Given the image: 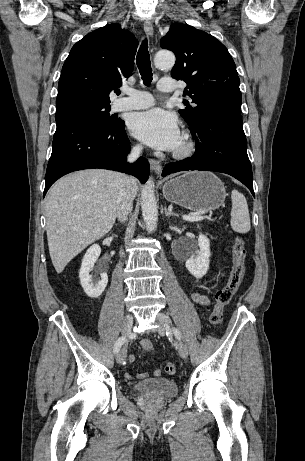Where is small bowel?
Segmentation results:
<instances>
[{
    "label": "small bowel",
    "mask_w": 305,
    "mask_h": 461,
    "mask_svg": "<svg viewBox=\"0 0 305 461\" xmlns=\"http://www.w3.org/2000/svg\"><path fill=\"white\" fill-rule=\"evenodd\" d=\"M191 298L194 302L200 304V305H208L210 303V299L208 296H206L205 294H202L200 292H192L191 293ZM141 347L143 348V350L147 353H149L152 357L155 356V350L153 348V345H152V342L149 340V339H143L141 341ZM135 356L134 355H129V362H134L135 361ZM160 375V370L159 369H155L153 371V376L157 377ZM125 377L128 379V380H131L133 379V376L129 373H127L125 375ZM138 378H144L146 377V373H141V374H138L137 375Z\"/></svg>",
    "instance_id": "c3829d8e"
}]
</instances>
